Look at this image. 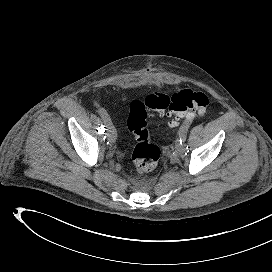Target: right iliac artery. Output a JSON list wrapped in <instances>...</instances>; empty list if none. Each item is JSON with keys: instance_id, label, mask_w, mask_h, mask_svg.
<instances>
[{"instance_id": "82829eb1", "label": "right iliac artery", "mask_w": 272, "mask_h": 272, "mask_svg": "<svg viewBox=\"0 0 272 272\" xmlns=\"http://www.w3.org/2000/svg\"><path fill=\"white\" fill-rule=\"evenodd\" d=\"M97 112L104 121L109 118L108 114L106 113V111L103 108H99L97 110Z\"/></svg>"}]
</instances>
